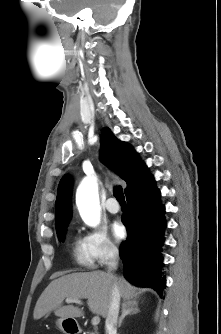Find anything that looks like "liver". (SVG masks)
<instances>
[{
	"instance_id": "obj_1",
	"label": "liver",
	"mask_w": 221,
	"mask_h": 334,
	"mask_svg": "<svg viewBox=\"0 0 221 334\" xmlns=\"http://www.w3.org/2000/svg\"><path fill=\"white\" fill-rule=\"evenodd\" d=\"M118 286L123 304L137 303L136 288L123 277L102 271L71 273L53 280L39 297L33 317L38 320L50 311L69 319L80 317L82 311L73 305L63 306L65 298L87 299L93 314L107 317L114 285Z\"/></svg>"
}]
</instances>
